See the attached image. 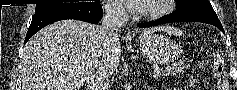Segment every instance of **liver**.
I'll list each match as a JSON object with an SVG mask.
<instances>
[{"instance_id":"1","label":"liver","mask_w":237,"mask_h":90,"mask_svg":"<svg viewBox=\"0 0 237 90\" xmlns=\"http://www.w3.org/2000/svg\"><path fill=\"white\" fill-rule=\"evenodd\" d=\"M157 28L144 30L153 34ZM130 40V38H123ZM99 26L62 20L34 34L24 48L20 64L22 90H81L88 78V66L99 54ZM109 66L117 68L121 56L119 38L109 46Z\"/></svg>"}]
</instances>
